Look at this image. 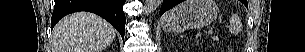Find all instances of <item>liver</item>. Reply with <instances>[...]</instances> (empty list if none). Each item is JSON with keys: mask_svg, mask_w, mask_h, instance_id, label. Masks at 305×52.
I'll use <instances>...</instances> for the list:
<instances>
[{"mask_svg": "<svg viewBox=\"0 0 305 52\" xmlns=\"http://www.w3.org/2000/svg\"><path fill=\"white\" fill-rule=\"evenodd\" d=\"M116 30L89 12L67 15L55 26L52 52H102L114 40Z\"/></svg>", "mask_w": 305, "mask_h": 52, "instance_id": "1", "label": "liver"}]
</instances>
